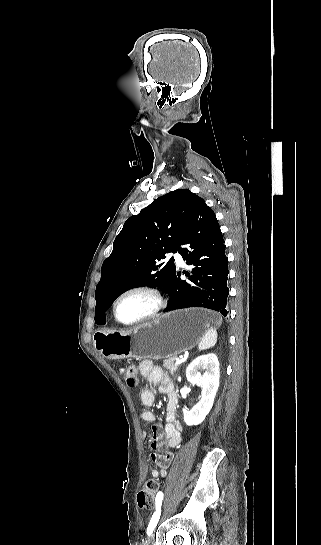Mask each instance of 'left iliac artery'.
I'll use <instances>...</instances> for the list:
<instances>
[{
  "label": "left iliac artery",
  "mask_w": 321,
  "mask_h": 545,
  "mask_svg": "<svg viewBox=\"0 0 321 545\" xmlns=\"http://www.w3.org/2000/svg\"><path fill=\"white\" fill-rule=\"evenodd\" d=\"M162 500H163V493L160 492L157 495L156 498V510L150 520V523L147 528V535L150 536L157 525V522L159 520L160 514H161V506H162Z\"/></svg>",
  "instance_id": "obj_1"
}]
</instances>
